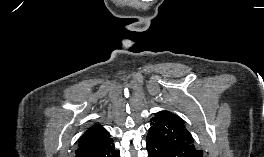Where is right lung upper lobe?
I'll return each mask as SVG.
<instances>
[{
    "mask_svg": "<svg viewBox=\"0 0 264 157\" xmlns=\"http://www.w3.org/2000/svg\"><path fill=\"white\" fill-rule=\"evenodd\" d=\"M109 139V132L102 125L94 124L79 138L78 149L75 152L78 154L84 150L100 145Z\"/></svg>",
    "mask_w": 264,
    "mask_h": 157,
    "instance_id": "1",
    "label": "right lung upper lobe"
}]
</instances>
